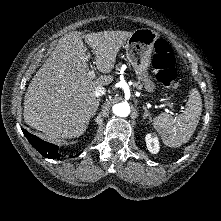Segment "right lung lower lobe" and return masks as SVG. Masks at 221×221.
Here are the masks:
<instances>
[{"instance_id":"1","label":"right lung lower lobe","mask_w":221,"mask_h":221,"mask_svg":"<svg viewBox=\"0 0 221 221\" xmlns=\"http://www.w3.org/2000/svg\"><path fill=\"white\" fill-rule=\"evenodd\" d=\"M24 135L29 140L31 145L44 157L60 160L61 155L58 153V147L54 144L45 142L39 139L37 136L29 133L27 130L22 129Z\"/></svg>"}]
</instances>
